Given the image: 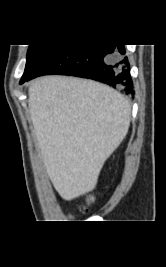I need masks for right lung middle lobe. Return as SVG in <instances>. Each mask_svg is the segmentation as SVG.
<instances>
[{
  "label": "right lung middle lobe",
  "mask_w": 166,
  "mask_h": 267,
  "mask_svg": "<svg viewBox=\"0 0 166 267\" xmlns=\"http://www.w3.org/2000/svg\"><path fill=\"white\" fill-rule=\"evenodd\" d=\"M53 45H29L27 62L21 81H24L34 70L36 65Z\"/></svg>",
  "instance_id": "right-lung-middle-lobe-1"
}]
</instances>
